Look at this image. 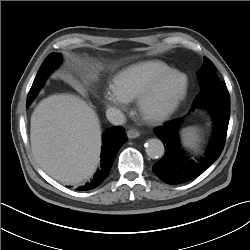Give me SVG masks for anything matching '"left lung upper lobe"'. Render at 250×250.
<instances>
[{
    "label": "left lung upper lobe",
    "mask_w": 250,
    "mask_h": 250,
    "mask_svg": "<svg viewBox=\"0 0 250 250\" xmlns=\"http://www.w3.org/2000/svg\"><path fill=\"white\" fill-rule=\"evenodd\" d=\"M198 79L201 88L221 82L218 78L215 65L205 57L203 59V65L198 72Z\"/></svg>",
    "instance_id": "5c2ea615"
}]
</instances>
